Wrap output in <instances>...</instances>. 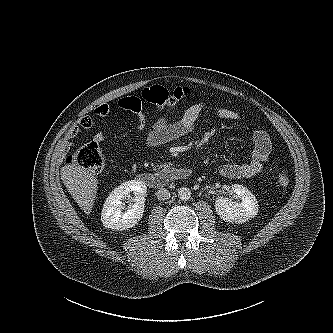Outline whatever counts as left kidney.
<instances>
[{
  "label": "left kidney",
  "instance_id": "left-kidney-1",
  "mask_svg": "<svg viewBox=\"0 0 333 333\" xmlns=\"http://www.w3.org/2000/svg\"><path fill=\"white\" fill-rule=\"evenodd\" d=\"M231 191L241 199V202H233L224 197L217 198L215 210L219 217L226 222L235 223H244L254 218L259 208L258 202L251 191L239 184H233Z\"/></svg>",
  "mask_w": 333,
  "mask_h": 333
}]
</instances>
